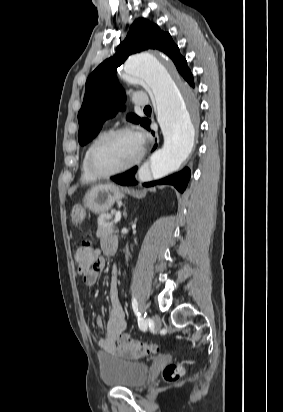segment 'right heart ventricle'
Listing matches in <instances>:
<instances>
[{
	"label": "right heart ventricle",
	"instance_id": "1",
	"mask_svg": "<svg viewBox=\"0 0 283 412\" xmlns=\"http://www.w3.org/2000/svg\"><path fill=\"white\" fill-rule=\"evenodd\" d=\"M104 131L99 132L88 144V146L86 147L83 157H82V161H81V179L85 182H90L93 181L95 178L94 176L91 174V172L88 169V165H87V157H88V153L90 148L92 147V145L104 134Z\"/></svg>",
	"mask_w": 283,
	"mask_h": 412
}]
</instances>
